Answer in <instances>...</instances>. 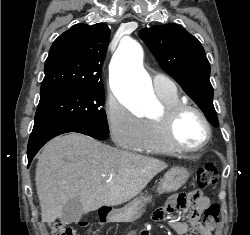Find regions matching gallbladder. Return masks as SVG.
I'll return each instance as SVG.
<instances>
[{
    "instance_id": "gallbladder-1",
    "label": "gallbladder",
    "mask_w": 250,
    "mask_h": 235,
    "mask_svg": "<svg viewBox=\"0 0 250 235\" xmlns=\"http://www.w3.org/2000/svg\"><path fill=\"white\" fill-rule=\"evenodd\" d=\"M82 216V204L77 199L69 200L63 208L60 220L64 223L78 222Z\"/></svg>"
}]
</instances>
